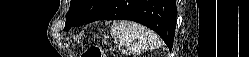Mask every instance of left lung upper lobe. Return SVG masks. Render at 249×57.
<instances>
[{
    "label": "left lung upper lobe",
    "mask_w": 249,
    "mask_h": 57,
    "mask_svg": "<svg viewBox=\"0 0 249 57\" xmlns=\"http://www.w3.org/2000/svg\"><path fill=\"white\" fill-rule=\"evenodd\" d=\"M110 0H71L64 30L78 26L100 12Z\"/></svg>",
    "instance_id": "1"
}]
</instances>
